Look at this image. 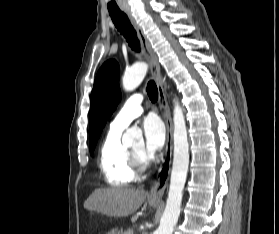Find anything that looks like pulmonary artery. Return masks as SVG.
<instances>
[{
	"label": "pulmonary artery",
	"instance_id": "obj_1",
	"mask_svg": "<svg viewBox=\"0 0 279 234\" xmlns=\"http://www.w3.org/2000/svg\"><path fill=\"white\" fill-rule=\"evenodd\" d=\"M142 101L143 96L141 94L131 95L111 122L110 129L113 131L124 130L132 120L143 112Z\"/></svg>",
	"mask_w": 279,
	"mask_h": 234
}]
</instances>
